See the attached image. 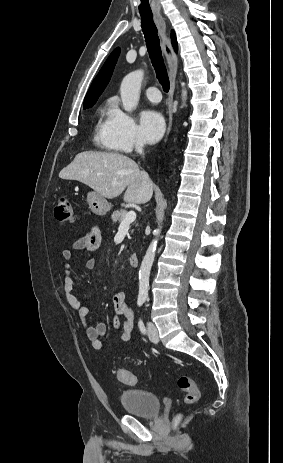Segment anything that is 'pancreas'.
<instances>
[{"instance_id": "cf45deb5", "label": "pancreas", "mask_w": 283, "mask_h": 463, "mask_svg": "<svg viewBox=\"0 0 283 463\" xmlns=\"http://www.w3.org/2000/svg\"><path fill=\"white\" fill-rule=\"evenodd\" d=\"M126 214H127L126 210H117V211L113 212L111 217H112V220H113L114 223H116V222L120 223V222H122L124 220ZM132 233H133V230H132Z\"/></svg>"}]
</instances>
